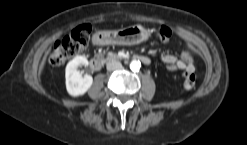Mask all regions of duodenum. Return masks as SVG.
I'll return each instance as SVG.
<instances>
[{"mask_svg": "<svg viewBox=\"0 0 247 145\" xmlns=\"http://www.w3.org/2000/svg\"><path fill=\"white\" fill-rule=\"evenodd\" d=\"M93 42H94L95 44H97V45H100V44H101V40H100L99 38H97V37L93 39ZM133 57H134L135 59H137V60L143 62V63L146 64V65H149V64L151 63L150 58L147 57V56H145V55H142V54H135ZM102 65H103L102 61H101L100 59H98V58H93V59H91V61H90V68H91L92 70H94V71L100 70V69L102 68Z\"/></svg>", "mask_w": 247, "mask_h": 145, "instance_id": "duodenum-1", "label": "duodenum"}]
</instances>
